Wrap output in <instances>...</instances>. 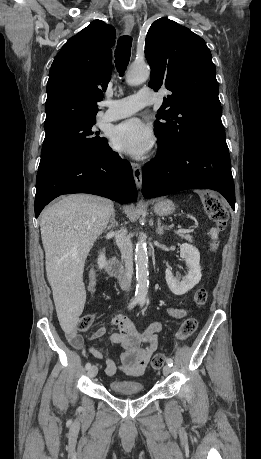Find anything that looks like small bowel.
<instances>
[{"label":"small bowel","mask_w":261,"mask_h":459,"mask_svg":"<svg viewBox=\"0 0 261 459\" xmlns=\"http://www.w3.org/2000/svg\"><path fill=\"white\" fill-rule=\"evenodd\" d=\"M95 285V273L91 271L87 288L90 296L95 291ZM168 314L180 319L186 316L187 311L179 308H170ZM109 327L118 328V332L111 333L107 337L109 341L119 344L121 347L120 364L106 357L104 351L97 346H90L86 353L98 359H105V371L109 376H113L119 370L132 376L143 375L148 369L152 355L158 348L159 332L163 327L162 322L154 321L144 328L139 329L126 315L117 314L107 325L98 328L92 334V340L104 337ZM66 336L75 348L81 349L83 347V338L75 330L69 331Z\"/></svg>","instance_id":"obj_1"}]
</instances>
